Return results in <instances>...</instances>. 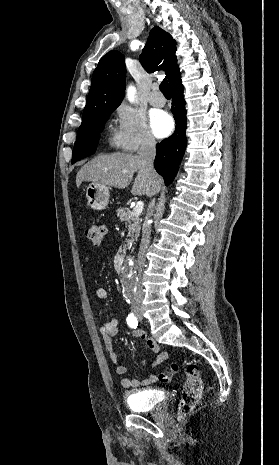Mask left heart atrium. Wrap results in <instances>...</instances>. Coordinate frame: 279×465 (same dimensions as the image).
Here are the masks:
<instances>
[{"label":"left heart atrium","instance_id":"left-heart-atrium-1","mask_svg":"<svg viewBox=\"0 0 279 465\" xmlns=\"http://www.w3.org/2000/svg\"><path fill=\"white\" fill-rule=\"evenodd\" d=\"M151 129L159 137H166L173 130V120L166 112L156 111L150 118Z\"/></svg>","mask_w":279,"mask_h":465}]
</instances>
